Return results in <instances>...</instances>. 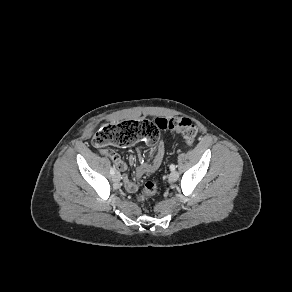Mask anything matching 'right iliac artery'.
<instances>
[{
  "label": "right iliac artery",
  "instance_id": "obj_1",
  "mask_svg": "<svg viewBox=\"0 0 292 292\" xmlns=\"http://www.w3.org/2000/svg\"><path fill=\"white\" fill-rule=\"evenodd\" d=\"M110 174H111V175H114V174H115V168H114V167H111V169H110Z\"/></svg>",
  "mask_w": 292,
  "mask_h": 292
}]
</instances>
